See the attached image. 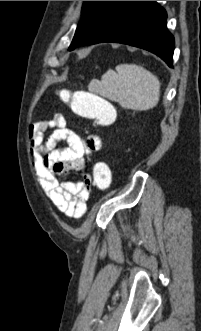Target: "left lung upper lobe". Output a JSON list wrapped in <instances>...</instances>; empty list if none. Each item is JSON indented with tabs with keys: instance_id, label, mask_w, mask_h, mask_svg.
I'll return each mask as SVG.
<instances>
[{
	"instance_id": "1",
	"label": "left lung upper lobe",
	"mask_w": 201,
	"mask_h": 331,
	"mask_svg": "<svg viewBox=\"0 0 201 331\" xmlns=\"http://www.w3.org/2000/svg\"><path fill=\"white\" fill-rule=\"evenodd\" d=\"M120 1H84L82 20L77 26L69 50L75 49L93 32Z\"/></svg>"
}]
</instances>
